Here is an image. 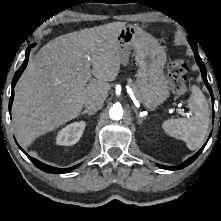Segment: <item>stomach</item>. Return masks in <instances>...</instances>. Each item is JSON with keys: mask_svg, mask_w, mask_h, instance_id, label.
Returning <instances> with one entry per match:
<instances>
[{"mask_svg": "<svg viewBox=\"0 0 221 221\" xmlns=\"http://www.w3.org/2000/svg\"><path fill=\"white\" fill-rule=\"evenodd\" d=\"M121 63L126 65L133 52L139 66L136 96L149 110L156 109L169 97V86L163 73L167 60L162 46L137 25L124 26L118 36Z\"/></svg>", "mask_w": 221, "mask_h": 221, "instance_id": "1", "label": "stomach"}]
</instances>
